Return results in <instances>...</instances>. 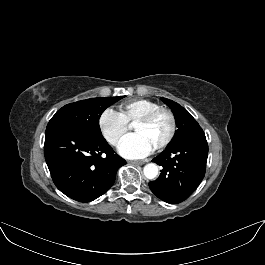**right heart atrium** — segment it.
Returning <instances> with one entry per match:
<instances>
[{"instance_id":"obj_1","label":"right heart atrium","mask_w":265,"mask_h":265,"mask_svg":"<svg viewBox=\"0 0 265 265\" xmlns=\"http://www.w3.org/2000/svg\"><path fill=\"white\" fill-rule=\"evenodd\" d=\"M98 126L103 137L113 146L119 145L128 132V124L118 112L107 108L98 118Z\"/></svg>"}]
</instances>
